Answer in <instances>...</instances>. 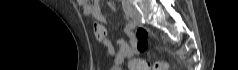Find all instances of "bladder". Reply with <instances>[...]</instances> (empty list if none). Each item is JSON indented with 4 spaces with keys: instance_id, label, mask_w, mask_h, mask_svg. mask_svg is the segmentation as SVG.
Listing matches in <instances>:
<instances>
[{
    "instance_id": "bladder-1",
    "label": "bladder",
    "mask_w": 238,
    "mask_h": 70,
    "mask_svg": "<svg viewBox=\"0 0 238 70\" xmlns=\"http://www.w3.org/2000/svg\"><path fill=\"white\" fill-rule=\"evenodd\" d=\"M111 70H123V69L120 67H113V68H111Z\"/></svg>"
}]
</instances>
